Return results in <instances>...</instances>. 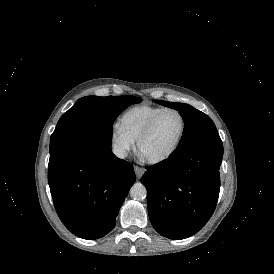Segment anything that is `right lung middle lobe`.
<instances>
[{
    "label": "right lung middle lobe",
    "mask_w": 274,
    "mask_h": 274,
    "mask_svg": "<svg viewBox=\"0 0 274 274\" xmlns=\"http://www.w3.org/2000/svg\"><path fill=\"white\" fill-rule=\"evenodd\" d=\"M142 100L134 96H86L59 119L50 138L49 152L96 133L111 135L114 120L128 106Z\"/></svg>",
    "instance_id": "right-lung-middle-lobe-1"
}]
</instances>
